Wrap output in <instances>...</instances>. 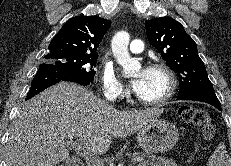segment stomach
<instances>
[{"mask_svg":"<svg viewBox=\"0 0 231 166\" xmlns=\"http://www.w3.org/2000/svg\"><path fill=\"white\" fill-rule=\"evenodd\" d=\"M177 127L164 119H155L137 131V143L146 152L164 153L178 141Z\"/></svg>","mask_w":231,"mask_h":166,"instance_id":"1","label":"stomach"}]
</instances>
